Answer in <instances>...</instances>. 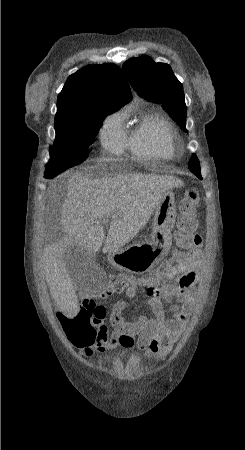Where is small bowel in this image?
Wrapping results in <instances>:
<instances>
[{
    "label": "small bowel",
    "mask_w": 245,
    "mask_h": 450,
    "mask_svg": "<svg viewBox=\"0 0 245 450\" xmlns=\"http://www.w3.org/2000/svg\"><path fill=\"white\" fill-rule=\"evenodd\" d=\"M202 257V250H191L175 263L166 265L162 274L137 279L124 289L129 298L136 296L139 291L146 294L145 304L152 314L151 317L139 315L131 321H126L123 318V312L127 304L125 301H117L110 314L111 330L103 321L96 328L97 336L94 342L74 344L90 356L93 349L103 353L119 343L125 344L124 335L137 334L138 348L143 350L145 359L167 356L179 339L193 311L195 304L193 291L197 276L203 267ZM150 277H153L152 282L149 281ZM160 280H162L161 284L156 283ZM111 290L106 288L98 297H109ZM165 303H169V317L163 313ZM76 312L74 296L62 297L57 305L56 319L62 326L64 318Z\"/></svg>",
    "instance_id": "obj_1"
}]
</instances>
